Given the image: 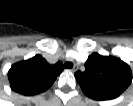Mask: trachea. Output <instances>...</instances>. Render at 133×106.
Segmentation results:
<instances>
[{
	"label": "trachea",
	"instance_id": "3493384b",
	"mask_svg": "<svg viewBox=\"0 0 133 106\" xmlns=\"http://www.w3.org/2000/svg\"><path fill=\"white\" fill-rule=\"evenodd\" d=\"M73 67V63L72 62H66L64 64V68H72Z\"/></svg>",
	"mask_w": 133,
	"mask_h": 106
}]
</instances>
